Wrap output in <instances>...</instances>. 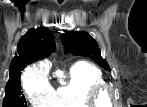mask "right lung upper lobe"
<instances>
[{
  "label": "right lung upper lobe",
  "mask_w": 147,
  "mask_h": 107,
  "mask_svg": "<svg viewBox=\"0 0 147 107\" xmlns=\"http://www.w3.org/2000/svg\"><path fill=\"white\" fill-rule=\"evenodd\" d=\"M54 49V37L48 28L30 29L18 42V55L12 59L10 76L15 75L24 65L48 57Z\"/></svg>",
  "instance_id": "1"
}]
</instances>
